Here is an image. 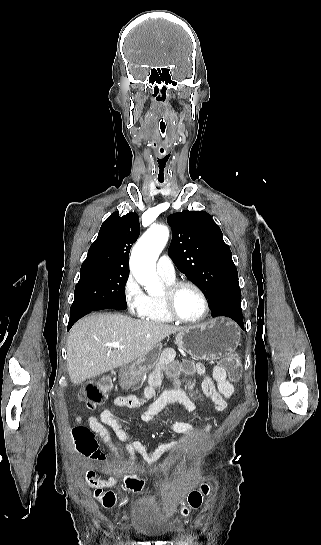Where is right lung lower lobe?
Here are the masks:
<instances>
[{
  "mask_svg": "<svg viewBox=\"0 0 321 545\" xmlns=\"http://www.w3.org/2000/svg\"><path fill=\"white\" fill-rule=\"evenodd\" d=\"M127 308V304H126V301H122V302H119L118 304H115L112 306V308L110 309H126ZM92 312V310H82V311H78V312H75L73 314H70V319H69V323H68V330L73 326V324L78 320L80 319L81 317H83L84 315L88 314Z\"/></svg>",
  "mask_w": 321,
  "mask_h": 545,
  "instance_id": "1",
  "label": "right lung lower lobe"
}]
</instances>
